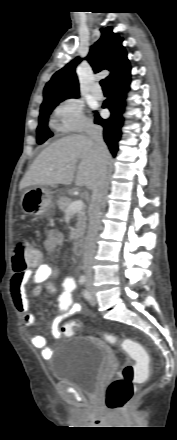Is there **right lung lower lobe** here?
Returning a JSON list of instances; mask_svg holds the SVG:
<instances>
[{
  "label": "right lung lower lobe",
  "mask_w": 177,
  "mask_h": 440,
  "mask_svg": "<svg viewBox=\"0 0 177 440\" xmlns=\"http://www.w3.org/2000/svg\"><path fill=\"white\" fill-rule=\"evenodd\" d=\"M110 96L104 101L102 107L111 112L110 118L104 120L95 115V123L103 127V137L113 156L118 151V141L121 138L123 126L126 93L130 84V65L108 82Z\"/></svg>",
  "instance_id": "obj_1"
}]
</instances>
